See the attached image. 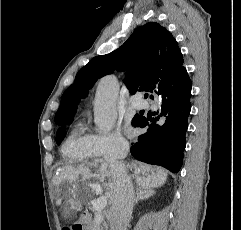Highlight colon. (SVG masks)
I'll return each mask as SVG.
<instances>
[{
    "label": "colon",
    "mask_w": 241,
    "mask_h": 230,
    "mask_svg": "<svg viewBox=\"0 0 241 230\" xmlns=\"http://www.w3.org/2000/svg\"><path fill=\"white\" fill-rule=\"evenodd\" d=\"M62 230H71V228L65 227V228H63Z\"/></svg>",
    "instance_id": "obj_1"
}]
</instances>
